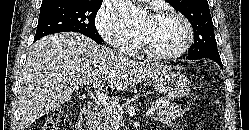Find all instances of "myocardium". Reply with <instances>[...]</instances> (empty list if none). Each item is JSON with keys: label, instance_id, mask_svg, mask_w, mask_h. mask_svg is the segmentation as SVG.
<instances>
[{"label": "myocardium", "instance_id": "1", "mask_svg": "<svg viewBox=\"0 0 249 130\" xmlns=\"http://www.w3.org/2000/svg\"><path fill=\"white\" fill-rule=\"evenodd\" d=\"M156 16H168L178 19L184 26L185 37L182 43L173 51L167 53H156L151 51L146 45L142 35L138 32L139 47L141 52L149 59L155 61H166L180 57L191 46L194 40V30L191 22L181 13L172 9H165L159 11Z\"/></svg>", "mask_w": 249, "mask_h": 130}]
</instances>
